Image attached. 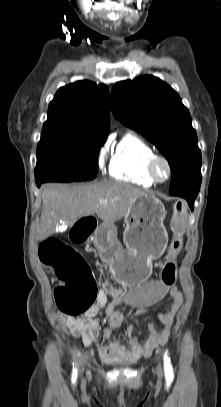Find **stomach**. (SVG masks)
<instances>
[{
	"label": "stomach",
	"instance_id": "stomach-1",
	"mask_svg": "<svg viewBox=\"0 0 221 407\" xmlns=\"http://www.w3.org/2000/svg\"><path fill=\"white\" fill-rule=\"evenodd\" d=\"M165 217V206L157 197L144 194L133 201L124 218L126 248L111 247L110 268L119 283L130 286L149 277L151 262L163 255L168 243ZM101 228L111 225L104 223Z\"/></svg>",
	"mask_w": 221,
	"mask_h": 407
}]
</instances>
